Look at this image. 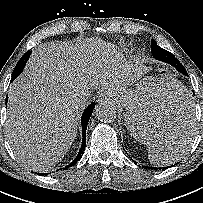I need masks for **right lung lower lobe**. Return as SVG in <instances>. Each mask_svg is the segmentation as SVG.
<instances>
[{"instance_id":"obj_1","label":"right lung lower lobe","mask_w":203,"mask_h":203,"mask_svg":"<svg viewBox=\"0 0 203 203\" xmlns=\"http://www.w3.org/2000/svg\"><path fill=\"white\" fill-rule=\"evenodd\" d=\"M31 54V51H27L22 57L21 59L18 61L16 67H19L20 69H24V66L27 62V60L29 59V56ZM13 81V80H11ZM6 104H7V99H6ZM95 107V102L91 103L86 109L85 111L83 112V115H82V136H83V141H82V145H81V148H80V151L77 155V157L75 158L74 161H72L69 165H67L64 170H66L67 168L69 167H72L76 164V162L81 158V155L83 154L84 150H85V145H86V127H87V124H88V121L90 119V116L92 115V112H93V109ZM62 170V169H61ZM40 175H47V173H38Z\"/></svg>"}]
</instances>
